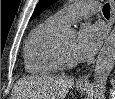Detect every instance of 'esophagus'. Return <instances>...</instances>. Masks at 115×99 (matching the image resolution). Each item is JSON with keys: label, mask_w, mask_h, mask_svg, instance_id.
I'll list each match as a JSON object with an SVG mask.
<instances>
[{"label": "esophagus", "mask_w": 115, "mask_h": 99, "mask_svg": "<svg viewBox=\"0 0 115 99\" xmlns=\"http://www.w3.org/2000/svg\"><path fill=\"white\" fill-rule=\"evenodd\" d=\"M109 3H110V20L108 22V32L111 31L112 26H113L114 21H115V2H114V0H109ZM90 73H91V71L89 73L83 75L82 77H80L78 80V83L88 84Z\"/></svg>", "instance_id": "esophagus-1"}]
</instances>
